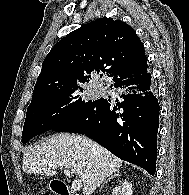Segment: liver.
Returning <instances> with one entry per match:
<instances>
[{"mask_svg": "<svg viewBox=\"0 0 189 195\" xmlns=\"http://www.w3.org/2000/svg\"><path fill=\"white\" fill-rule=\"evenodd\" d=\"M123 161L91 139L61 133L24 152L23 171L55 176L47 166L71 170L83 183V195H91L107 177L117 172Z\"/></svg>", "mask_w": 189, "mask_h": 195, "instance_id": "obj_1", "label": "liver"}]
</instances>
